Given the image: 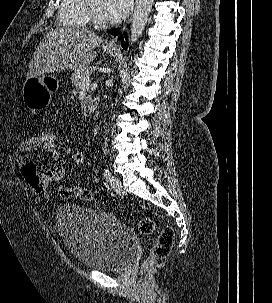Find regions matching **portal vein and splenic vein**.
<instances>
[{
    "mask_svg": "<svg viewBox=\"0 0 272 303\" xmlns=\"http://www.w3.org/2000/svg\"><path fill=\"white\" fill-rule=\"evenodd\" d=\"M91 82V74L85 76L82 80V86H89Z\"/></svg>",
    "mask_w": 272,
    "mask_h": 303,
    "instance_id": "portal-vein-and-splenic-vein-1",
    "label": "portal vein and splenic vein"
}]
</instances>
